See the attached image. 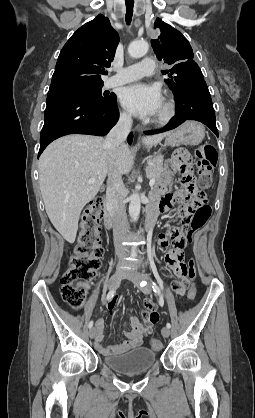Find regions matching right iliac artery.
<instances>
[{
	"label": "right iliac artery",
	"instance_id": "82829eb1",
	"mask_svg": "<svg viewBox=\"0 0 255 418\" xmlns=\"http://www.w3.org/2000/svg\"><path fill=\"white\" fill-rule=\"evenodd\" d=\"M115 292H116L115 289L110 290L108 292L107 296H106V301L112 299L113 296L115 295ZM88 327L89 328H92L93 327V321H90L89 322Z\"/></svg>",
	"mask_w": 255,
	"mask_h": 418
}]
</instances>
